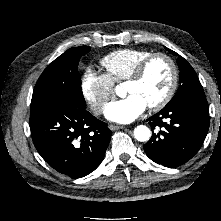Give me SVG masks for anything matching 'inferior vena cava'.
I'll return each mask as SVG.
<instances>
[{
    "label": "inferior vena cava",
    "instance_id": "inferior-vena-cava-1",
    "mask_svg": "<svg viewBox=\"0 0 221 221\" xmlns=\"http://www.w3.org/2000/svg\"><path fill=\"white\" fill-rule=\"evenodd\" d=\"M96 109H97V110H100V109H101V107H100V106H98Z\"/></svg>",
    "mask_w": 221,
    "mask_h": 221
}]
</instances>
